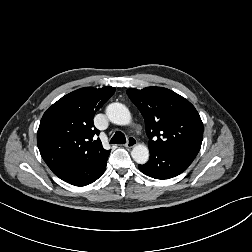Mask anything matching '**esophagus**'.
Listing matches in <instances>:
<instances>
[{
	"label": "esophagus",
	"mask_w": 252,
	"mask_h": 252,
	"mask_svg": "<svg viewBox=\"0 0 252 252\" xmlns=\"http://www.w3.org/2000/svg\"><path fill=\"white\" fill-rule=\"evenodd\" d=\"M136 144H137L136 138L130 136V137L128 138L127 143H126L124 146L127 147V148H132V147H134Z\"/></svg>",
	"instance_id": "1"
}]
</instances>
